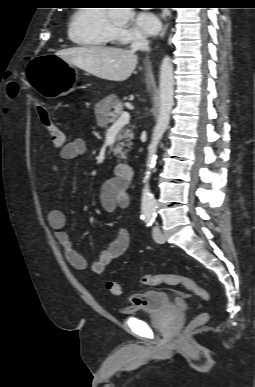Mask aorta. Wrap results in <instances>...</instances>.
I'll return each mask as SVG.
<instances>
[{
    "label": "aorta",
    "mask_w": 255,
    "mask_h": 387,
    "mask_svg": "<svg viewBox=\"0 0 255 387\" xmlns=\"http://www.w3.org/2000/svg\"><path fill=\"white\" fill-rule=\"evenodd\" d=\"M110 17L118 23H126L133 16V8H108ZM159 115L153 130L152 140L148 148L146 162L145 185L142 190L141 209L145 218H152L156 213L157 203L150 187L149 177L157 159V147L167 130L170 122L171 111L174 105V75L172 59L165 56L160 66L159 78Z\"/></svg>",
    "instance_id": "762f6f07"
}]
</instances>
